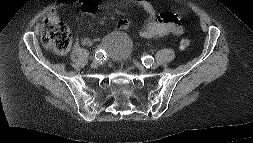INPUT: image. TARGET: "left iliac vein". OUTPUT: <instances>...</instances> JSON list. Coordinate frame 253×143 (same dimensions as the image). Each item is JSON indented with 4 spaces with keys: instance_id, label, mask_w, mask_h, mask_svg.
I'll return each instance as SVG.
<instances>
[{
    "instance_id": "obj_1",
    "label": "left iliac vein",
    "mask_w": 253,
    "mask_h": 143,
    "mask_svg": "<svg viewBox=\"0 0 253 143\" xmlns=\"http://www.w3.org/2000/svg\"><path fill=\"white\" fill-rule=\"evenodd\" d=\"M152 69H155L157 67L156 63H152V65L150 66ZM142 69V68H141ZM143 70V69H142Z\"/></svg>"
}]
</instances>
